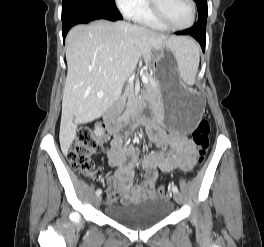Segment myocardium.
<instances>
[{
	"label": "myocardium",
	"mask_w": 264,
	"mask_h": 247,
	"mask_svg": "<svg viewBox=\"0 0 264 247\" xmlns=\"http://www.w3.org/2000/svg\"><path fill=\"white\" fill-rule=\"evenodd\" d=\"M191 7V18L188 23L184 25H175L167 21L164 17L160 5L159 0H148L149 10L154 19L159 22L163 27L170 30H185L192 27L196 20V4L194 0H188Z\"/></svg>",
	"instance_id": "myocardium-1"
}]
</instances>
